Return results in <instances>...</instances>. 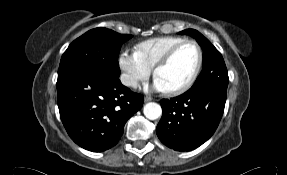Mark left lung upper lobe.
Wrapping results in <instances>:
<instances>
[{"label":"left lung upper lobe","mask_w":287,"mask_h":175,"mask_svg":"<svg viewBox=\"0 0 287 175\" xmlns=\"http://www.w3.org/2000/svg\"><path fill=\"white\" fill-rule=\"evenodd\" d=\"M180 34L194 37L203 48V69L189 91L217 89L227 91L229 82L228 72L221 53L201 33L186 29Z\"/></svg>","instance_id":"5c2ea615"}]
</instances>
